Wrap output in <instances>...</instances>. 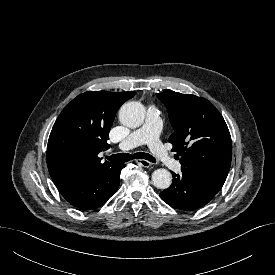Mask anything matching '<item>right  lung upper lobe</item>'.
I'll return each mask as SVG.
<instances>
[{
	"label": "right lung upper lobe",
	"mask_w": 275,
	"mask_h": 275,
	"mask_svg": "<svg viewBox=\"0 0 275 275\" xmlns=\"http://www.w3.org/2000/svg\"><path fill=\"white\" fill-rule=\"evenodd\" d=\"M135 92L89 91L68 103L49 136L47 166L60 187L110 167L98 153L110 147L109 131L119 107Z\"/></svg>",
	"instance_id": "1"
}]
</instances>
